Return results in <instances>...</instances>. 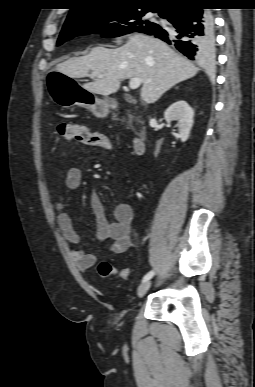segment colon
Instances as JSON below:
<instances>
[{
	"label": "colon",
	"mask_w": 255,
	"mask_h": 387,
	"mask_svg": "<svg viewBox=\"0 0 255 387\" xmlns=\"http://www.w3.org/2000/svg\"><path fill=\"white\" fill-rule=\"evenodd\" d=\"M58 134L68 142L77 141L81 144L99 148H111L112 140L103 133L92 132L86 126L73 123L62 122L57 127ZM97 272L103 278H109L119 275L122 279L127 280L130 277L129 269L117 270L110 262L101 261L97 265Z\"/></svg>",
	"instance_id": "obj_1"
}]
</instances>
